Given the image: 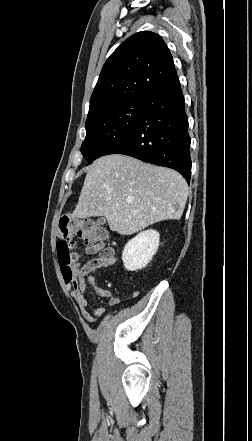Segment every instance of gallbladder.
Masks as SVG:
<instances>
[{
    "mask_svg": "<svg viewBox=\"0 0 252 441\" xmlns=\"http://www.w3.org/2000/svg\"><path fill=\"white\" fill-rule=\"evenodd\" d=\"M106 223V218L104 216H101L97 219V224L103 225Z\"/></svg>",
    "mask_w": 252,
    "mask_h": 441,
    "instance_id": "1",
    "label": "gallbladder"
}]
</instances>
